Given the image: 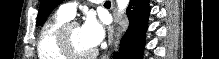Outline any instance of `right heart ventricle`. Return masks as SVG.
<instances>
[{"instance_id": "1", "label": "right heart ventricle", "mask_w": 219, "mask_h": 59, "mask_svg": "<svg viewBox=\"0 0 219 59\" xmlns=\"http://www.w3.org/2000/svg\"><path fill=\"white\" fill-rule=\"evenodd\" d=\"M69 20L70 18L57 11L44 24L37 42V54L39 59H68L59 50L58 36L61 27Z\"/></svg>"}]
</instances>
